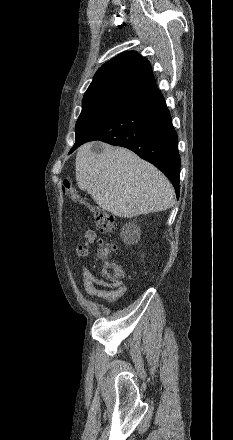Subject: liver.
Instances as JSON below:
<instances>
[{
	"mask_svg": "<svg viewBox=\"0 0 233 440\" xmlns=\"http://www.w3.org/2000/svg\"><path fill=\"white\" fill-rule=\"evenodd\" d=\"M92 143L78 149L76 180L105 211L132 218L167 210L174 204V189L168 178L132 151L102 144L99 154Z\"/></svg>",
	"mask_w": 233,
	"mask_h": 440,
	"instance_id": "obj_1",
	"label": "liver"
}]
</instances>
